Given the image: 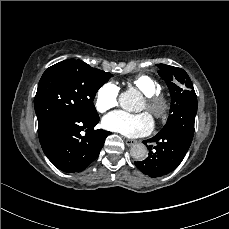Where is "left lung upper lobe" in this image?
<instances>
[{
	"label": "left lung upper lobe",
	"instance_id": "left-lung-upper-lobe-1",
	"mask_svg": "<svg viewBox=\"0 0 229 229\" xmlns=\"http://www.w3.org/2000/svg\"><path fill=\"white\" fill-rule=\"evenodd\" d=\"M160 77L171 94L170 115L161 131L183 132L193 138L197 113V96L185 70L165 64H157Z\"/></svg>",
	"mask_w": 229,
	"mask_h": 229
}]
</instances>
